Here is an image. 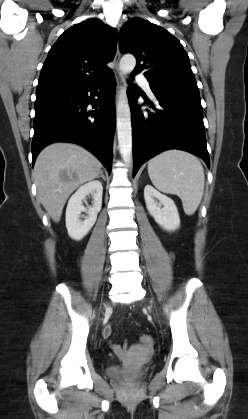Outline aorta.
Returning <instances> with one entry per match:
<instances>
[{"label":"aorta","mask_w":248,"mask_h":419,"mask_svg":"<svg viewBox=\"0 0 248 419\" xmlns=\"http://www.w3.org/2000/svg\"><path fill=\"white\" fill-rule=\"evenodd\" d=\"M135 66L136 59L131 54L124 55L119 62V69L123 75L132 72ZM116 121L120 153L125 164L129 165L132 159V126L130 106L124 88L120 90L118 97Z\"/></svg>","instance_id":"obj_1"}]
</instances>
